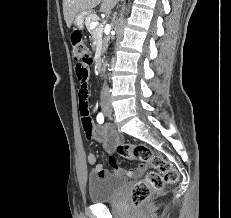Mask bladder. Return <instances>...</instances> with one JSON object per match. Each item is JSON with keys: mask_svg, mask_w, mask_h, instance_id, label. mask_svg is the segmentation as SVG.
Returning a JSON list of instances; mask_svg holds the SVG:
<instances>
[{"mask_svg": "<svg viewBox=\"0 0 231 218\" xmlns=\"http://www.w3.org/2000/svg\"><path fill=\"white\" fill-rule=\"evenodd\" d=\"M127 180L118 176L90 175L88 178V197L92 203H103L116 199Z\"/></svg>", "mask_w": 231, "mask_h": 218, "instance_id": "1", "label": "bladder"}]
</instances>
